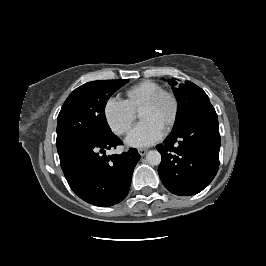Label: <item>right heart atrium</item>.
<instances>
[{"label":"right heart atrium","mask_w":266,"mask_h":266,"mask_svg":"<svg viewBox=\"0 0 266 266\" xmlns=\"http://www.w3.org/2000/svg\"><path fill=\"white\" fill-rule=\"evenodd\" d=\"M104 117L113 132L126 134L136 119V111L122 99L110 97L104 106Z\"/></svg>","instance_id":"1"}]
</instances>
